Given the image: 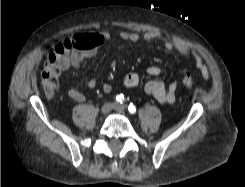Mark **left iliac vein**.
<instances>
[{
	"label": "left iliac vein",
	"instance_id": "obj_1",
	"mask_svg": "<svg viewBox=\"0 0 245 187\" xmlns=\"http://www.w3.org/2000/svg\"><path fill=\"white\" fill-rule=\"evenodd\" d=\"M113 108L119 113L124 112L126 109L125 105L119 103H116Z\"/></svg>",
	"mask_w": 245,
	"mask_h": 187
}]
</instances>
